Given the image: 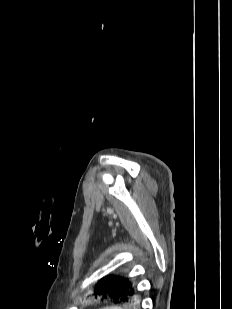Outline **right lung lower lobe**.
<instances>
[{
	"label": "right lung lower lobe",
	"mask_w": 232,
	"mask_h": 309,
	"mask_svg": "<svg viewBox=\"0 0 232 309\" xmlns=\"http://www.w3.org/2000/svg\"><path fill=\"white\" fill-rule=\"evenodd\" d=\"M95 297L111 298L115 303L124 302L137 305V292L126 278H118L112 285L95 289Z\"/></svg>",
	"instance_id": "right-lung-lower-lobe-1"
}]
</instances>
